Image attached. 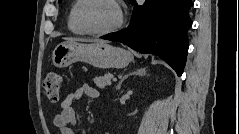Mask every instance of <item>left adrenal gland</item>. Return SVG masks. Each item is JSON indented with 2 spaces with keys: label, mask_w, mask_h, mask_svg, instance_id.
<instances>
[{
  "label": "left adrenal gland",
  "mask_w": 239,
  "mask_h": 134,
  "mask_svg": "<svg viewBox=\"0 0 239 134\" xmlns=\"http://www.w3.org/2000/svg\"><path fill=\"white\" fill-rule=\"evenodd\" d=\"M131 75L145 76V75H146V69H145V68H139V69H136V70H134L133 72H131V73L125 75V76L120 80V82H119V84L117 85L116 89H117V90H120L123 81H124L126 78H128L129 76H131Z\"/></svg>",
  "instance_id": "a2214340"
}]
</instances>
